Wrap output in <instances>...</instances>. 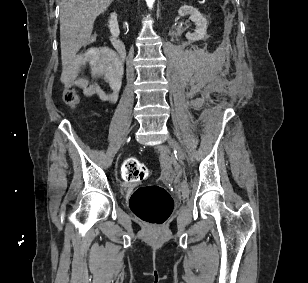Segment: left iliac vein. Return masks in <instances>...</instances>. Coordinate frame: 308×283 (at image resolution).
<instances>
[{"label":"left iliac vein","instance_id":"1","mask_svg":"<svg viewBox=\"0 0 308 283\" xmlns=\"http://www.w3.org/2000/svg\"><path fill=\"white\" fill-rule=\"evenodd\" d=\"M168 143L170 147L175 151L176 157L178 160H184L185 159V154L180 146V144L172 137L168 138Z\"/></svg>","mask_w":308,"mask_h":283}]
</instances>
